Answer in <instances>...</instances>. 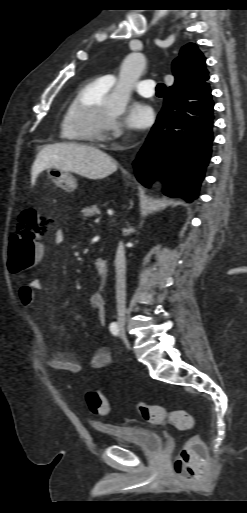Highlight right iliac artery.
Listing matches in <instances>:
<instances>
[{
	"label": "right iliac artery",
	"instance_id": "1",
	"mask_svg": "<svg viewBox=\"0 0 247 513\" xmlns=\"http://www.w3.org/2000/svg\"><path fill=\"white\" fill-rule=\"evenodd\" d=\"M109 329L114 336L119 335V328L116 322H112L109 326Z\"/></svg>",
	"mask_w": 247,
	"mask_h": 513
}]
</instances>
